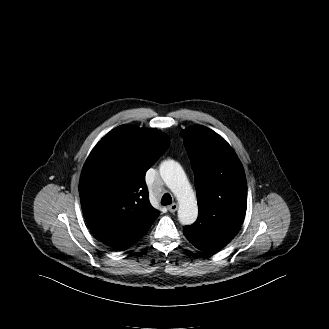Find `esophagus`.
Listing matches in <instances>:
<instances>
[{
	"instance_id": "1",
	"label": "esophagus",
	"mask_w": 329,
	"mask_h": 329,
	"mask_svg": "<svg viewBox=\"0 0 329 329\" xmlns=\"http://www.w3.org/2000/svg\"><path fill=\"white\" fill-rule=\"evenodd\" d=\"M169 212L174 213L178 209V205L176 203H173L169 205L168 207Z\"/></svg>"
}]
</instances>
